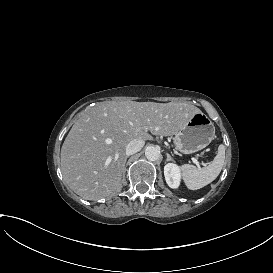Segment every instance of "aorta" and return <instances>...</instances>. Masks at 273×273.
Wrapping results in <instances>:
<instances>
[{
	"instance_id": "1",
	"label": "aorta",
	"mask_w": 273,
	"mask_h": 273,
	"mask_svg": "<svg viewBox=\"0 0 273 273\" xmlns=\"http://www.w3.org/2000/svg\"><path fill=\"white\" fill-rule=\"evenodd\" d=\"M145 156L150 161H156L160 157V149L154 145L147 146L145 149Z\"/></svg>"
}]
</instances>
